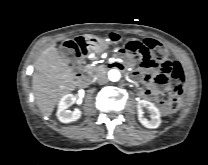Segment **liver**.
Instances as JSON below:
<instances>
[{
  "mask_svg": "<svg viewBox=\"0 0 208 165\" xmlns=\"http://www.w3.org/2000/svg\"><path fill=\"white\" fill-rule=\"evenodd\" d=\"M77 87L72 68L61 58L55 45L37 58L32 78L36 104L44 116H51L55 105Z\"/></svg>",
  "mask_w": 208,
  "mask_h": 165,
  "instance_id": "liver-1",
  "label": "liver"
}]
</instances>
